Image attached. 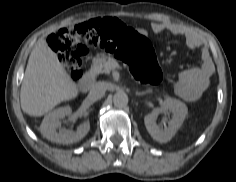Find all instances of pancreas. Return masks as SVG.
<instances>
[{
	"label": "pancreas",
	"mask_w": 236,
	"mask_h": 182,
	"mask_svg": "<svg viewBox=\"0 0 236 182\" xmlns=\"http://www.w3.org/2000/svg\"><path fill=\"white\" fill-rule=\"evenodd\" d=\"M92 72L94 74L107 73L109 74L113 67L111 65V58L105 54H98L93 58Z\"/></svg>",
	"instance_id": "pancreas-1"
}]
</instances>
